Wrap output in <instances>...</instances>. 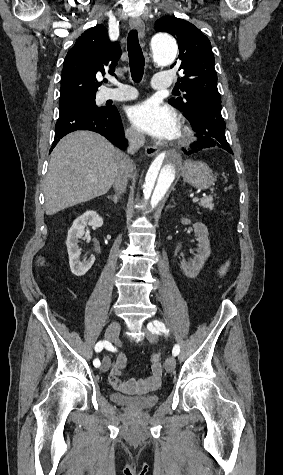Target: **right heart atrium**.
Returning a JSON list of instances; mask_svg holds the SVG:
<instances>
[{"mask_svg": "<svg viewBox=\"0 0 283 475\" xmlns=\"http://www.w3.org/2000/svg\"><path fill=\"white\" fill-rule=\"evenodd\" d=\"M127 142L131 148L137 149L142 146V138L132 130H127L125 133Z\"/></svg>", "mask_w": 283, "mask_h": 475, "instance_id": "1", "label": "right heart atrium"}]
</instances>
